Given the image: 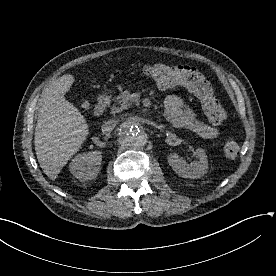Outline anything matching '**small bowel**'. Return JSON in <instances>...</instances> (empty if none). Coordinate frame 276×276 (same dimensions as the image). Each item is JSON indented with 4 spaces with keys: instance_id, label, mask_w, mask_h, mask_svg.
I'll return each instance as SVG.
<instances>
[{
    "instance_id": "1",
    "label": "small bowel",
    "mask_w": 276,
    "mask_h": 276,
    "mask_svg": "<svg viewBox=\"0 0 276 276\" xmlns=\"http://www.w3.org/2000/svg\"><path fill=\"white\" fill-rule=\"evenodd\" d=\"M164 115L174 126L186 129L204 139H214L219 135L218 128L199 120L176 95H169L165 99Z\"/></svg>"
}]
</instances>
